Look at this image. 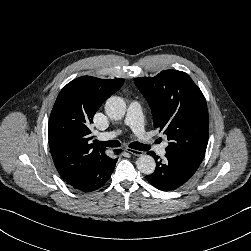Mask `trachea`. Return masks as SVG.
Segmentation results:
<instances>
[{
    "label": "trachea",
    "instance_id": "trachea-1",
    "mask_svg": "<svg viewBox=\"0 0 251 251\" xmlns=\"http://www.w3.org/2000/svg\"><path fill=\"white\" fill-rule=\"evenodd\" d=\"M95 144L99 146H105V147H120L121 146V143L118 140H109V141L96 140ZM129 147L135 150H139V151H147L150 149L148 145H144L139 142H132L129 144Z\"/></svg>",
    "mask_w": 251,
    "mask_h": 251
}]
</instances>
